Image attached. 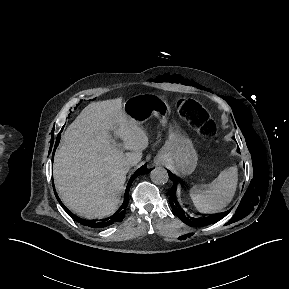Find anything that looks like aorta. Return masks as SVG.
I'll list each match as a JSON object with an SVG mask.
<instances>
[{"label":"aorta","mask_w":289,"mask_h":289,"mask_svg":"<svg viewBox=\"0 0 289 289\" xmlns=\"http://www.w3.org/2000/svg\"><path fill=\"white\" fill-rule=\"evenodd\" d=\"M150 178L156 185H164L169 180L168 172L163 167H156L153 169L150 173Z\"/></svg>","instance_id":"762f6f07"}]
</instances>
